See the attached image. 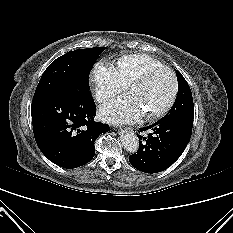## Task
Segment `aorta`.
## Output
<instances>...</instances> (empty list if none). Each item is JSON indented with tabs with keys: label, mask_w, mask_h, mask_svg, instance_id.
I'll return each mask as SVG.
<instances>
[{
	"label": "aorta",
	"mask_w": 233,
	"mask_h": 233,
	"mask_svg": "<svg viewBox=\"0 0 233 233\" xmlns=\"http://www.w3.org/2000/svg\"><path fill=\"white\" fill-rule=\"evenodd\" d=\"M121 142L125 150L130 153L137 152L139 148V139L132 131L121 132Z\"/></svg>",
	"instance_id": "obj_1"
}]
</instances>
